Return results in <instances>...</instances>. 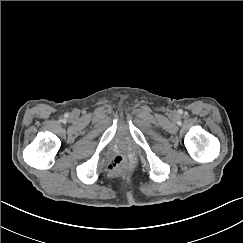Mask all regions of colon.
<instances>
[{
    "label": "colon",
    "mask_w": 243,
    "mask_h": 243,
    "mask_svg": "<svg viewBox=\"0 0 243 243\" xmlns=\"http://www.w3.org/2000/svg\"><path fill=\"white\" fill-rule=\"evenodd\" d=\"M131 166L128 158L124 156H116L112 158L108 164V169L111 173L116 174L126 171Z\"/></svg>",
    "instance_id": "colon-1"
}]
</instances>
